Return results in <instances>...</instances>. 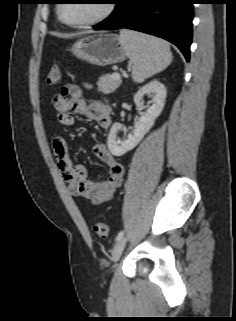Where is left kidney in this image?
<instances>
[{"label": "left kidney", "mask_w": 236, "mask_h": 321, "mask_svg": "<svg viewBox=\"0 0 236 321\" xmlns=\"http://www.w3.org/2000/svg\"><path fill=\"white\" fill-rule=\"evenodd\" d=\"M146 95L152 97V104L134 124L133 131L127 135L124 141H121L117 137L122 125L120 123H114L112 125L107 139V145L114 156H121L135 148L144 135L152 128L155 119L161 114L166 99L165 86L159 81L153 80L139 89L134 95V102L138 108L144 107L143 98Z\"/></svg>", "instance_id": "obj_1"}]
</instances>
